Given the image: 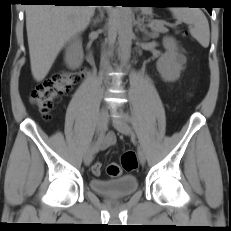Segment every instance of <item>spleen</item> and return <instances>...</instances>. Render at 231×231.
Here are the masks:
<instances>
[{
  "instance_id": "obj_1",
  "label": "spleen",
  "mask_w": 231,
  "mask_h": 231,
  "mask_svg": "<svg viewBox=\"0 0 231 231\" xmlns=\"http://www.w3.org/2000/svg\"><path fill=\"white\" fill-rule=\"evenodd\" d=\"M170 11L178 20L191 25V35L204 47L209 46L210 29L207 18L198 8L172 7Z\"/></svg>"
}]
</instances>
